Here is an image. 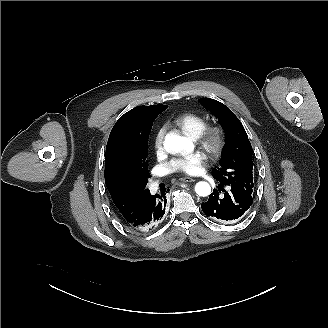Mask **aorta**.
<instances>
[{"label": "aorta", "mask_w": 328, "mask_h": 328, "mask_svg": "<svg viewBox=\"0 0 328 328\" xmlns=\"http://www.w3.org/2000/svg\"><path fill=\"white\" fill-rule=\"evenodd\" d=\"M165 149L169 153H178L181 151L193 150V144L188 138L176 134H169L164 141ZM195 192L197 195L206 197L211 193V187L207 182L201 181L195 185Z\"/></svg>", "instance_id": "1"}]
</instances>
